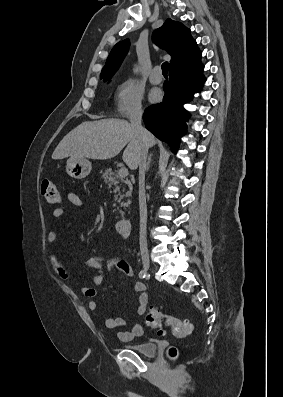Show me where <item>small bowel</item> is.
I'll list each match as a JSON object with an SVG mask.
<instances>
[{"label":"small bowel","mask_w":283,"mask_h":397,"mask_svg":"<svg viewBox=\"0 0 283 397\" xmlns=\"http://www.w3.org/2000/svg\"><path fill=\"white\" fill-rule=\"evenodd\" d=\"M67 199L76 207L83 206V201L77 192H69L67 194ZM64 214L65 210L62 207H57L52 211V216L56 219L63 217ZM57 238V229H52L47 233L46 240L49 243L55 242ZM48 258L53 271L58 277H60L62 280L70 279L71 276L69 271L61 263L55 251H50ZM85 266L96 271V275L91 278L92 286H85L81 288L82 293L91 299L88 304L91 311H95L97 308L95 301L92 300V298H94L97 294L94 286H98L104 281L105 271L107 269L114 267L128 277L133 276V269L131 265L127 261L119 258L108 259L101 256H91L86 259ZM132 290L133 292L138 293L137 314L143 315L148 304V294L145 292V285L142 282L136 281L132 285ZM103 323L108 329H117L118 338L125 342L131 341L136 337H140L144 333V327L140 323L134 324L130 331L122 330V328L125 326V321L119 317H107L104 319Z\"/></svg>","instance_id":"obj_1"}]
</instances>
